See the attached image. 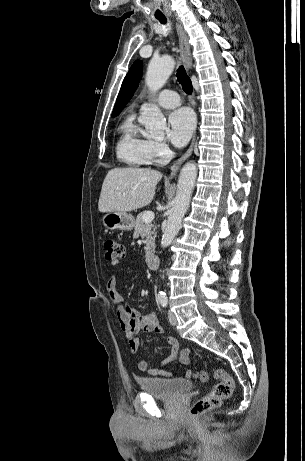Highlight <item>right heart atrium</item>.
<instances>
[{
    "instance_id": "1",
    "label": "right heart atrium",
    "mask_w": 305,
    "mask_h": 461,
    "mask_svg": "<svg viewBox=\"0 0 305 461\" xmlns=\"http://www.w3.org/2000/svg\"><path fill=\"white\" fill-rule=\"evenodd\" d=\"M152 150H153V157L158 162L163 160L168 154L167 145L161 141H153Z\"/></svg>"
}]
</instances>
